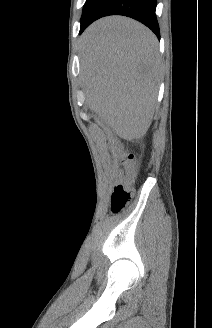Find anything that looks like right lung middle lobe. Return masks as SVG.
I'll list each match as a JSON object with an SVG mask.
<instances>
[{
  "instance_id": "obj_1",
  "label": "right lung middle lobe",
  "mask_w": 212,
  "mask_h": 328,
  "mask_svg": "<svg viewBox=\"0 0 212 328\" xmlns=\"http://www.w3.org/2000/svg\"><path fill=\"white\" fill-rule=\"evenodd\" d=\"M97 0H86L83 8V14L81 17V22L84 20L88 10L91 8V6L96 2Z\"/></svg>"
}]
</instances>
